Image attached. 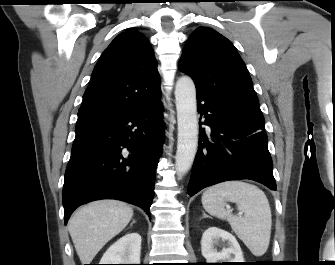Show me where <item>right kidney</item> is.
I'll list each match as a JSON object with an SVG mask.
<instances>
[{
  "label": "right kidney",
  "instance_id": "1",
  "mask_svg": "<svg viewBox=\"0 0 335 265\" xmlns=\"http://www.w3.org/2000/svg\"><path fill=\"white\" fill-rule=\"evenodd\" d=\"M141 241L136 232L125 234L107 249L100 264H140Z\"/></svg>",
  "mask_w": 335,
  "mask_h": 265
}]
</instances>
